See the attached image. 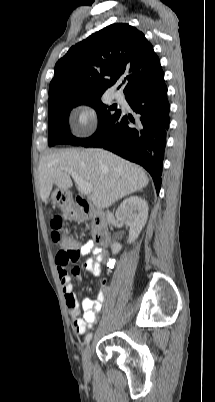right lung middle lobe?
Masks as SVG:
<instances>
[{
	"mask_svg": "<svg viewBox=\"0 0 215 402\" xmlns=\"http://www.w3.org/2000/svg\"><path fill=\"white\" fill-rule=\"evenodd\" d=\"M101 96L87 98L60 97L48 103V144H71L80 145L83 139L74 137L68 128L69 112L72 108L85 104L94 108L98 115V128L101 131L120 113L113 112V107L108 108L101 101Z\"/></svg>",
	"mask_w": 215,
	"mask_h": 402,
	"instance_id": "dd1d6c3e",
	"label": "right lung middle lobe"
}]
</instances>
